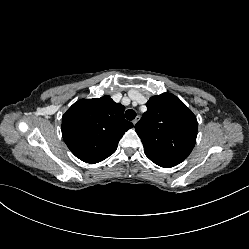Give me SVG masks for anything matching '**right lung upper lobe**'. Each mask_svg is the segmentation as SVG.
I'll list each match as a JSON object with an SVG mask.
<instances>
[{
	"instance_id": "1",
	"label": "right lung upper lobe",
	"mask_w": 249,
	"mask_h": 249,
	"mask_svg": "<svg viewBox=\"0 0 249 249\" xmlns=\"http://www.w3.org/2000/svg\"><path fill=\"white\" fill-rule=\"evenodd\" d=\"M124 110L107 95L75 102L62 117L66 145L84 162L103 161L116 151L119 140L133 127L125 120Z\"/></svg>"
}]
</instances>
